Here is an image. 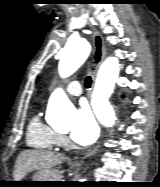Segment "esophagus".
Listing matches in <instances>:
<instances>
[{
    "mask_svg": "<svg viewBox=\"0 0 160 187\" xmlns=\"http://www.w3.org/2000/svg\"><path fill=\"white\" fill-rule=\"evenodd\" d=\"M93 43H94V57L92 64V76L95 79L97 71L101 63L104 61L106 55L105 42L99 31L94 29L93 33ZM101 148V142H99L92 150L85 153V157H90L97 153Z\"/></svg>",
    "mask_w": 160,
    "mask_h": 187,
    "instance_id": "1",
    "label": "esophagus"
}]
</instances>
